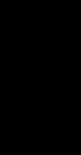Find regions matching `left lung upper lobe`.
<instances>
[{"mask_svg":"<svg viewBox=\"0 0 81 155\" xmlns=\"http://www.w3.org/2000/svg\"><path fill=\"white\" fill-rule=\"evenodd\" d=\"M55 68L69 97L67 110L80 115L81 58L69 47L54 48L46 55Z\"/></svg>","mask_w":81,"mask_h":155,"instance_id":"5c2ea615","label":"left lung upper lobe"}]
</instances>
